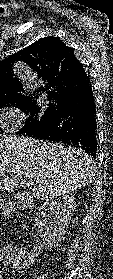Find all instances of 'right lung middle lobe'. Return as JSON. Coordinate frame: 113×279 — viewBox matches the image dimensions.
<instances>
[{"label":"right lung middle lobe","mask_w":113,"mask_h":279,"mask_svg":"<svg viewBox=\"0 0 113 279\" xmlns=\"http://www.w3.org/2000/svg\"><path fill=\"white\" fill-rule=\"evenodd\" d=\"M17 106H20L21 110L29 115V118L25 121V125L18 132L19 134H25L26 131L48 123L54 117L57 110L53 104H50L48 108H45L39 107L36 102Z\"/></svg>","instance_id":"1"}]
</instances>
